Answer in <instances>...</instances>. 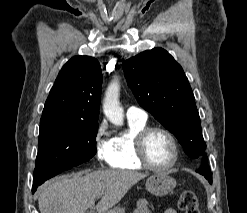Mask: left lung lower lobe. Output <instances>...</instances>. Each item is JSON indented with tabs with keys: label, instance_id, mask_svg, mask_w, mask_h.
Returning a JSON list of instances; mask_svg holds the SVG:
<instances>
[{
	"label": "left lung lower lobe",
	"instance_id": "1",
	"mask_svg": "<svg viewBox=\"0 0 247 213\" xmlns=\"http://www.w3.org/2000/svg\"><path fill=\"white\" fill-rule=\"evenodd\" d=\"M197 172L204 175V177L208 179L210 183H212V173L210 172L209 166L206 162L203 163L202 168L197 170Z\"/></svg>",
	"mask_w": 247,
	"mask_h": 213
}]
</instances>
